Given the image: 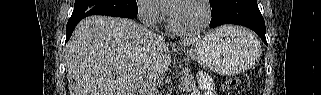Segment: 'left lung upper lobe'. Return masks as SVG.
<instances>
[{
    "instance_id": "left-lung-upper-lobe-1",
    "label": "left lung upper lobe",
    "mask_w": 321,
    "mask_h": 95,
    "mask_svg": "<svg viewBox=\"0 0 321 95\" xmlns=\"http://www.w3.org/2000/svg\"><path fill=\"white\" fill-rule=\"evenodd\" d=\"M218 1H219V0H210V5H211V6L214 5V4H216Z\"/></svg>"
}]
</instances>
